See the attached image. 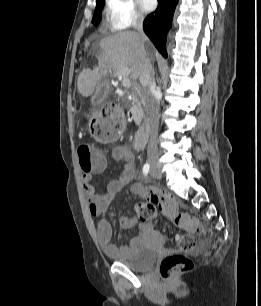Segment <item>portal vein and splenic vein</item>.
I'll use <instances>...</instances> for the list:
<instances>
[{
    "label": "portal vein and splenic vein",
    "instance_id": "18ae733b",
    "mask_svg": "<svg viewBox=\"0 0 261 306\" xmlns=\"http://www.w3.org/2000/svg\"><path fill=\"white\" fill-rule=\"evenodd\" d=\"M130 72H131V70L129 68H123L115 74V76L122 79V84L125 87H131L132 86L131 81L129 79Z\"/></svg>",
    "mask_w": 261,
    "mask_h": 306
}]
</instances>
